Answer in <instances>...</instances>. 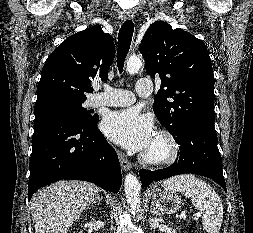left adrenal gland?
<instances>
[{"mask_svg": "<svg viewBox=\"0 0 253 233\" xmlns=\"http://www.w3.org/2000/svg\"><path fill=\"white\" fill-rule=\"evenodd\" d=\"M150 212L156 215H160V213L155 209L154 203H152L150 206Z\"/></svg>", "mask_w": 253, "mask_h": 233, "instance_id": "1", "label": "left adrenal gland"}]
</instances>
